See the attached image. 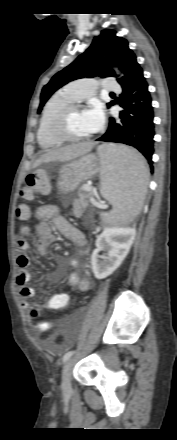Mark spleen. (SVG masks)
I'll return each mask as SVG.
<instances>
[{
  "mask_svg": "<svg viewBox=\"0 0 177 440\" xmlns=\"http://www.w3.org/2000/svg\"><path fill=\"white\" fill-rule=\"evenodd\" d=\"M101 159V195L113 205L102 214L107 223L132 221L142 209L148 182L144 157L127 146L104 144L98 147Z\"/></svg>",
  "mask_w": 177,
  "mask_h": 440,
  "instance_id": "1",
  "label": "spleen"
}]
</instances>
